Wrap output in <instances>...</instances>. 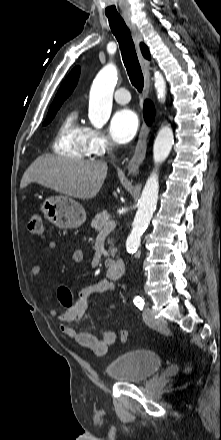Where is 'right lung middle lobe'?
Wrapping results in <instances>:
<instances>
[{
    "label": "right lung middle lobe",
    "mask_w": 221,
    "mask_h": 440,
    "mask_svg": "<svg viewBox=\"0 0 221 440\" xmlns=\"http://www.w3.org/2000/svg\"><path fill=\"white\" fill-rule=\"evenodd\" d=\"M59 108H60V106H57V107L53 108L52 110L48 111L46 120L44 121L43 125H46L49 122H51V120L54 118V116Z\"/></svg>",
    "instance_id": "dd1d6c3e"
}]
</instances>
